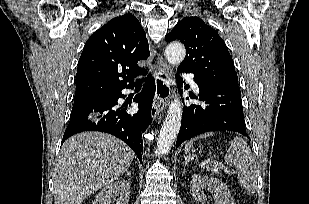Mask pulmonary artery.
I'll list each match as a JSON object with an SVG mask.
<instances>
[{"instance_id": "obj_1", "label": "pulmonary artery", "mask_w": 309, "mask_h": 204, "mask_svg": "<svg viewBox=\"0 0 309 204\" xmlns=\"http://www.w3.org/2000/svg\"><path fill=\"white\" fill-rule=\"evenodd\" d=\"M186 78L189 81V83L192 86V88L197 91L198 90V86L195 83V81L193 80V78L191 77V75H186Z\"/></svg>"}]
</instances>
